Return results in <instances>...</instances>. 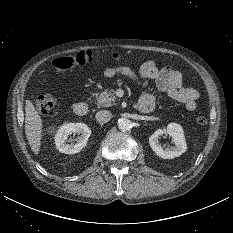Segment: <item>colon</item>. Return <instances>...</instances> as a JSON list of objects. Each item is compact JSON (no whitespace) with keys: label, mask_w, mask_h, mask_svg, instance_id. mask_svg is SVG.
<instances>
[{"label":"colon","mask_w":233,"mask_h":233,"mask_svg":"<svg viewBox=\"0 0 233 233\" xmlns=\"http://www.w3.org/2000/svg\"><path fill=\"white\" fill-rule=\"evenodd\" d=\"M118 55L115 54L114 58L118 59ZM96 54L91 51H81L75 55L59 57L53 60L52 65L58 70H68L77 65H84L96 60ZM56 97L52 94H42L36 99V108L40 113H48L56 105ZM197 123L201 126H205L208 120L205 116H199Z\"/></svg>","instance_id":"obj_1"}]
</instances>
